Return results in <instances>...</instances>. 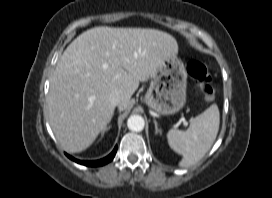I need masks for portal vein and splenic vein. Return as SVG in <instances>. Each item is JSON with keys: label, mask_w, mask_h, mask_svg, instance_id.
Wrapping results in <instances>:
<instances>
[{"label": "portal vein and splenic vein", "mask_w": 272, "mask_h": 198, "mask_svg": "<svg viewBox=\"0 0 272 198\" xmlns=\"http://www.w3.org/2000/svg\"><path fill=\"white\" fill-rule=\"evenodd\" d=\"M181 121L183 122V125H184V126L187 125V122H186L184 119H182Z\"/></svg>", "instance_id": "18ae733b"}]
</instances>
